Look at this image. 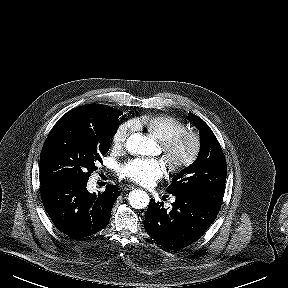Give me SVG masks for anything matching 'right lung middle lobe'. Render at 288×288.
Wrapping results in <instances>:
<instances>
[{
    "instance_id": "right-lung-middle-lobe-1",
    "label": "right lung middle lobe",
    "mask_w": 288,
    "mask_h": 288,
    "mask_svg": "<svg viewBox=\"0 0 288 288\" xmlns=\"http://www.w3.org/2000/svg\"><path fill=\"white\" fill-rule=\"evenodd\" d=\"M123 113L102 105L94 115L69 111L50 131L40 155V185L86 183L102 162Z\"/></svg>"
}]
</instances>
